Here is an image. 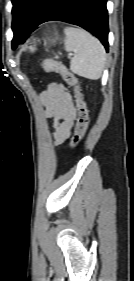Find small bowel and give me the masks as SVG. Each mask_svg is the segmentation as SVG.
<instances>
[{
    "mask_svg": "<svg viewBox=\"0 0 134 281\" xmlns=\"http://www.w3.org/2000/svg\"><path fill=\"white\" fill-rule=\"evenodd\" d=\"M45 115L52 121L55 144L64 142L76 121V108L70 93L58 83L51 84L41 96Z\"/></svg>",
    "mask_w": 134,
    "mask_h": 281,
    "instance_id": "small-bowel-1",
    "label": "small bowel"
}]
</instances>
